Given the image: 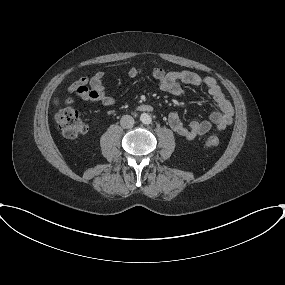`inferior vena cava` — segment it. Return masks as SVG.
Returning <instances> with one entry per match:
<instances>
[{
  "label": "inferior vena cava",
  "instance_id": "1",
  "mask_svg": "<svg viewBox=\"0 0 285 285\" xmlns=\"http://www.w3.org/2000/svg\"><path fill=\"white\" fill-rule=\"evenodd\" d=\"M134 124V119L130 115H123L121 120H120V125L123 128H131Z\"/></svg>",
  "mask_w": 285,
  "mask_h": 285
}]
</instances>
